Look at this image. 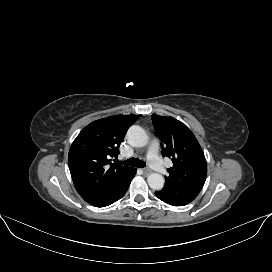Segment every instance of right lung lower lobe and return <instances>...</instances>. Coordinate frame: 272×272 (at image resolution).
<instances>
[{
  "mask_svg": "<svg viewBox=\"0 0 272 272\" xmlns=\"http://www.w3.org/2000/svg\"><path fill=\"white\" fill-rule=\"evenodd\" d=\"M135 174L136 169L134 168L130 173L124 175L122 180L116 183L113 188L88 203L95 207H105L116 202L124 196Z\"/></svg>",
  "mask_w": 272,
  "mask_h": 272,
  "instance_id": "obj_1",
  "label": "right lung lower lobe"
}]
</instances>
